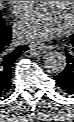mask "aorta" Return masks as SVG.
Here are the masks:
<instances>
[{"mask_svg":"<svg viewBox=\"0 0 74 122\" xmlns=\"http://www.w3.org/2000/svg\"><path fill=\"white\" fill-rule=\"evenodd\" d=\"M43 63L47 71L57 74L62 72L67 65L66 56L56 50L46 53L43 58Z\"/></svg>","mask_w":74,"mask_h":122,"instance_id":"aorta-1","label":"aorta"}]
</instances>
